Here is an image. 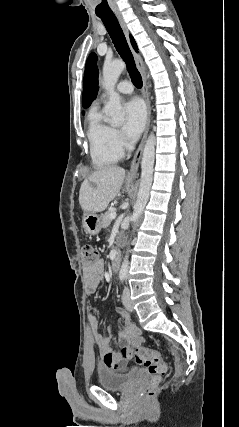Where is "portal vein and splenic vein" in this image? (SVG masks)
<instances>
[{
    "instance_id": "obj_1",
    "label": "portal vein and splenic vein",
    "mask_w": 239,
    "mask_h": 427,
    "mask_svg": "<svg viewBox=\"0 0 239 427\" xmlns=\"http://www.w3.org/2000/svg\"><path fill=\"white\" fill-rule=\"evenodd\" d=\"M109 217L111 220H114L116 218V212H111Z\"/></svg>"
}]
</instances>
